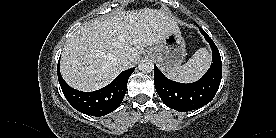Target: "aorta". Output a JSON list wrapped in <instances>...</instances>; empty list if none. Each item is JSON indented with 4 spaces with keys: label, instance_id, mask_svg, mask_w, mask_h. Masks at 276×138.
Listing matches in <instances>:
<instances>
[{
    "label": "aorta",
    "instance_id": "obj_1",
    "mask_svg": "<svg viewBox=\"0 0 276 138\" xmlns=\"http://www.w3.org/2000/svg\"><path fill=\"white\" fill-rule=\"evenodd\" d=\"M138 68L142 73H150L153 71L154 65L150 59H143L140 61Z\"/></svg>",
    "mask_w": 276,
    "mask_h": 138
}]
</instances>
